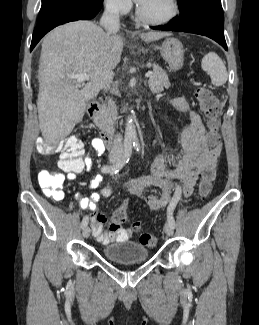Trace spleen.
<instances>
[{
    "mask_svg": "<svg viewBox=\"0 0 259 325\" xmlns=\"http://www.w3.org/2000/svg\"><path fill=\"white\" fill-rule=\"evenodd\" d=\"M201 67L210 75L213 85L222 86L227 82L228 74L226 67L215 52H210L203 57Z\"/></svg>",
    "mask_w": 259,
    "mask_h": 325,
    "instance_id": "3e777b00",
    "label": "spleen"
}]
</instances>
